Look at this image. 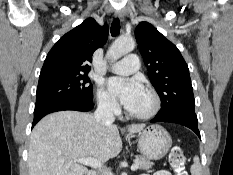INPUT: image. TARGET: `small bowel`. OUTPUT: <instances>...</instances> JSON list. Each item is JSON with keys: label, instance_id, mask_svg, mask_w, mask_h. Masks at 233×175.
Returning <instances> with one entry per match:
<instances>
[{"label": "small bowel", "instance_id": "c3829d8e", "mask_svg": "<svg viewBox=\"0 0 233 175\" xmlns=\"http://www.w3.org/2000/svg\"><path fill=\"white\" fill-rule=\"evenodd\" d=\"M141 175H149V174H141ZM154 175H172V174L167 170H160L156 172Z\"/></svg>", "mask_w": 233, "mask_h": 175}]
</instances>
